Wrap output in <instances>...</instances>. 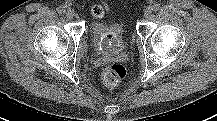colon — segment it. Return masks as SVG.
<instances>
[{
	"label": "colon",
	"mask_w": 217,
	"mask_h": 121,
	"mask_svg": "<svg viewBox=\"0 0 217 121\" xmlns=\"http://www.w3.org/2000/svg\"><path fill=\"white\" fill-rule=\"evenodd\" d=\"M93 16L101 20L104 15L103 8L96 5L92 8ZM127 70L122 64H111L107 66L102 72V80L107 86H116L126 77Z\"/></svg>",
	"instance_id": "colon-1"
}]
</instances>
